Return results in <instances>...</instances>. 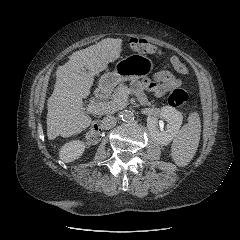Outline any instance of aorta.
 Wrapping results in <instances>:
<instances>
[{
	"instance_id": "762f6f07",
	"label": "aorta",
	"mask_w": 240,
	"mask_h": 240,
	"mask_svg": "<svg viewBox=\"0 0 240 240\" xmlns=\"http://www.w3.org/2000/svg\"><path fill=\"white\" fill-rule=\"evenodd\" d=\"M120 117H121L122 121L127 122V123L134 121V114L130 110L121 111Z\"/></svg>"
}]
</instances>
